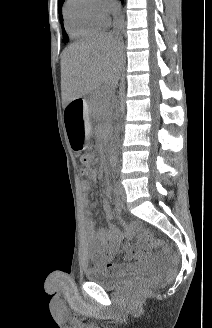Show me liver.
Masks as SVG:
<instances>
[{"label":"liver","instance_id":"6515ba94","mask_svg":"<svg viewBox=\"0 0 212 328\" xmlns=\"http://www.w3.org/2000/svg\"><path fill=\"white\" fill-rule=\"evenodd\" d=\"M121 43L111 33H100L66 48L61 59L62 99L69 103L101 87L117 86Z\"/></svg>","mask_w":212,"mask_h":328}]
</instances>
